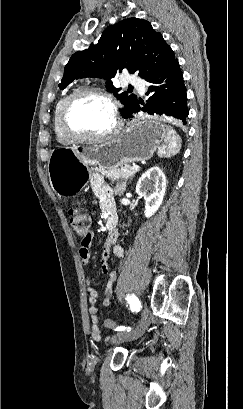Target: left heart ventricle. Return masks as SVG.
I'll use <instances>...</instances> for the list:
<instances>
[{
    "label": "left heart ventricle",
    "instance_id": "b2bd125f",
    "mask_svg": "<svg viewBox=\"0 0 243 409\" xmlns=\"http://www.w3.org/2000/svg\"><path fill=\"white\" fill-rule=\"evenodd\" d=\"M68 122L78 133L96 135L111 127L112 116L109 106L104 101L97 97L84 96L73 103Z\"/></svg>",
    "mask_w": 243,
    "mask_h": 409
}]
</instances>
